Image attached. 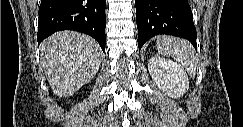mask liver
Returning <instances> with one entry per match:
<instances>
[{"instance_id": "6515ba94", "label": "liver", "mask_w": 243, "mask_h": 127, "mask_svg": "<svg viewBox=\"0 0 243 127\" xmlns=\"http://www.w3.org/2000/svg\"><path fill=\"white\" fill-rule=\"evenodd\" d=\"M41 65L53 92L62 98L71 96L92 80L102 55L98 43L78 33L57 32L40 46Z\"/></svg>"}]
</instances>
